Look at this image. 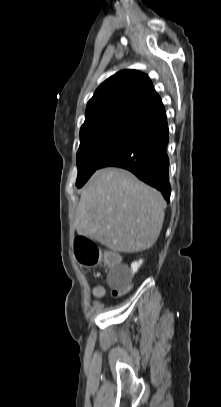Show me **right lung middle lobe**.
Masks as SVG:
<instances>
[{"mask_svg": "<svg viewBox=\"0 0 221 407\" xmlns=\"http://www.w3.org/2000/svg\"><path fill=\"white\" fill-rule=\"evenodd\" d=\"M137 125L121 124L92 131L80 137L77 152L78 176L76 186L82 187L101 163L136 129Z\"/></svg>", "mask_w": 221, "mask_h": 407, "instance_id": "right-lung-middle-lobe-1", "label": "right lung middle lobe"}]
</instances>
